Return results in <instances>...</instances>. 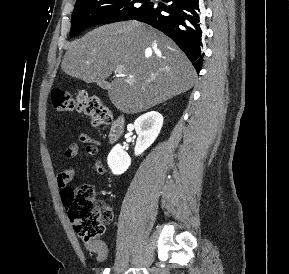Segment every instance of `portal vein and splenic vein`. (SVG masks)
Returning <instances> with one entry per match:
<instances>
[{
  "instance_id": "portal-vein-and-splenic-vein-1",
  "label": "portal vein and splenic vein",
  "mask_w": 289,
  "mask_h": 274,
  "mask_svg": "<svg viewBox=\"0 0 289 274\" xmlns=\"http://www.w3.org/2000/svg\"><path fill=\"white\" fill-rule=\"evenodd\" d=\"M124 70L125 68L123 66H118L116 69H115V73H117V75H122L124 73Z\"/></svg>"
}]
</instances>
